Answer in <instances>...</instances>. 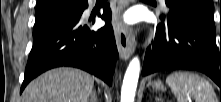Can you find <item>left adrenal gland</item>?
Returning a JSON list of instances; mask_svg holds the SVG:
<instances>
[{
  "label": "left adrenal gland",
  "instance_id": "a2214340",
  "mask_svg": "<svg viewBox=\"0 0 221 102\" xmlns=\"http://www.w3.org/2000/svg\"><path fill=\"white\" fill-rule=\"evenodd\" d=\"M156 102H163L162 98H156Z\"/></svg>",
  "mask_w": 221,
  "mask_h": 102
}]
</instances>
